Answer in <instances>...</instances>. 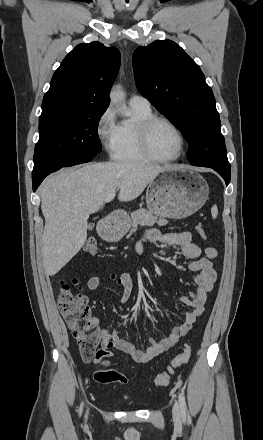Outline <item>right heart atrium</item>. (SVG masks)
<instances>
[{"label":"right heart atrium","mask_w":263,"mask_h":440,"mask_svg":"<svg viewBox=\"0 0 263 440\" xmlns=\"http://www.w3.org/2000/svg\"><path fill=\"white\" fill-rule=\"evenodd\" d=\"M96 134L107 153L113 154L119 138V124L112 107H107L96 123Z\"/></svg>","instance_id":"1"}]
</instances>
